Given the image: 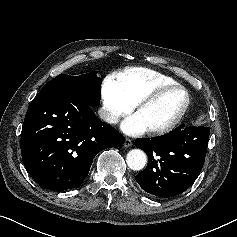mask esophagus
<instances>
[{"label":"esophagus","mask_w":237,"mask_h":237,"mask_svg":"<svg viewBox=\"0 0 237 237\" xmlns=\"http://www.w3.org/2000/svg\"><path fill=\"white\" fill-rule=\"evenodd\" d=\"M132 145V140L130 138H125L124 146L130 147Z\"/></svg>","instance_id":"1"}]
</instances>
